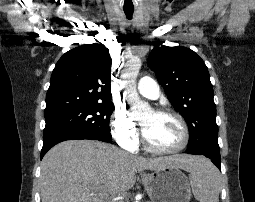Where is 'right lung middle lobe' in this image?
Masks as SVG:
<instances>
[{
    "label": "right lung middle lobe",
    "mask_w": 255,
    "mask_h": 202,
    "mask_svg": "<svg viewBox=\"0 0 255 202\" xmlns=\"http://www.w3.org/2000/svg\"><path fill=\"white\" fill-rule=\"evenodd\" d=\"M113 109V103H91L46 113L44 133L72 129L110 142L109 120Z\"/></svg>",
    "instance_id": "right-lung-middle-lobe-1"
}]
</instances>
